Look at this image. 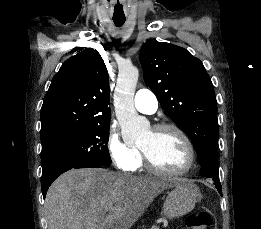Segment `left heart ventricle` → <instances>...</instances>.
I'll list each match as a JSON object with an SVG mask.
<instances>
[{"label": "left heart ventricle", "mask_w": 261, "mask_h": 229, "mask_svg": "<svg viewBox=\"0 0 261 229\" xmlns=\"http://www.w3.org/2000/svg\"><path fill=\"white\" fill-rule=\"evenodd\" d=\"M142 147L161 168L169 171L182 169L188 159L186 147L180 136L171 130L158 134L148 131L141 139Z\"/></svg>", "instance_id": "b2bd125f"}]
</instances>
